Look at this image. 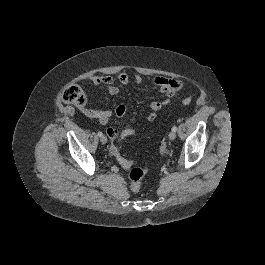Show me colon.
<instances>
[{"label": "colon", "mask_w": 265, "mask_h": 265, "mask_svg": "<svg viewBox=\"0 0 265 265\" xmlns=\"http://www.w3.org/2000/svg\"><path fill=\"white\" fill-rule=\"evenodd\" d=\"M61 99L69 104H72L76 107H78L81 110H88L87 109V99L86 95L83 91V89L77 85V84H71L66 86L62 92H61ZM182 103L184 105H189L191 103V100L189 98H185L182 100ZM135 131L133 129H125L122 132H119L113 128L108 129V135L111 139L117 140V139H123L125 137H128L130 135H133ZM112 154L115 156L118 163L123 168H131L132 162L124 158L119 149L116 146L111 147ZM147 173L146 168L141 167H134L131 168L129 171V179H130V187L133 192H138L141 188V183L143 178L145 177Z\"/></svg>", "instance_id": "1"}]
</instances>
